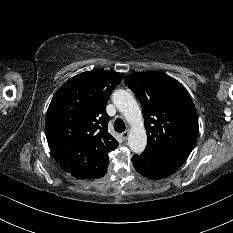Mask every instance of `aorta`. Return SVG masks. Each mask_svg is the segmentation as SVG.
I'll return each instance as SVG.
<instances>
[{
  "label": "aorta",
  "instance_id": "1",
  "mask_svg": "<svg viewBox=\"0 0 233 233\" xmlns=\"http://www.w3.org/2000/svg\"><path fill=\"white\" fill-rule=\"evenodd\" d=\"M112 100L116 108L123 114L130 124L131 130L128 137V146L134 153H142L147 145V134L144 127L140 108L126 90H117L113 93Z\"/></svg>",
  "mask_w": 233,
  "mask_h": 233
}]
</instances>
